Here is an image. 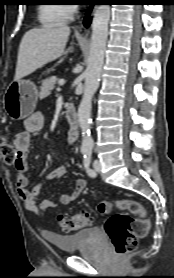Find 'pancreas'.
I'll return each mask as SVG.
<instances>
[{
	"mask_svg": "<svg viewBox=\"0 0 174 278\" xmlns=\"http://www.w3.org/2000/svg\"><path fill=\"white\" fill-rule=\"evenodd\" d=\"M57 79L52 77L42 81V85L40 87L39 97L40 99H44L49 96L51 91L54 89L56 85Z\"/></svg>",
	"mask_w": 174,
	"mask_h": 278,
	"instance_id": "pancreas-1",
	"label": "pancreas"
}]
</instances>
